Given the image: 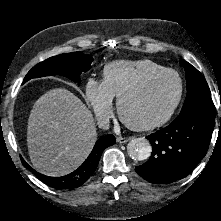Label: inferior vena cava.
<instances>
[{
	"mask_svg": "<svg viewBox=\"0 0 221 221\" xmlns=\"http://www.w3.org/2000/svg\"><path fill=\"white\" fill-rule=\"evenodd\" d=\"M99 128L107 130L109 128V119L108 118H102L98 120Z\"/></svg>",
	"mask_w": 221,
	"mask_h": 221,
	"instance_id": "1",
	"label": "inferior vena cava"
}]
</instances>
